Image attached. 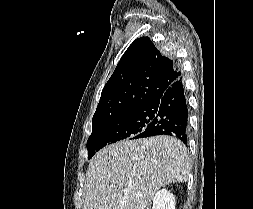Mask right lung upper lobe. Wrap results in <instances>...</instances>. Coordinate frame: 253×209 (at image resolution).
Returning a JSON list of instances; mask_svg holds the SVG:
<instances>
[{
  "label": "right lung upper lobe",
  "instance_id": "right-lung-upper-lobe-1",
  "mask_svg": "<svg viewBox=\"0 0 253 209\" xmlns=\"http://www.w3.org/2000/svg\"><path fill=\"white\" fill-rule=\"evenodd\" d=\"M181 72L149 37L136 39L104 86L93 120L113 117L158 100Z\"/></svg>",
  "mask_w": 253,
  "mask_h": 209
}]
</instances>
